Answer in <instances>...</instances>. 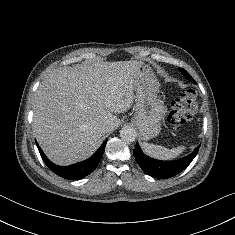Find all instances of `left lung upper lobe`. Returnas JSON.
<instances>
[{
    "instance_id": "obj_1",
    "label": "left lung upper lobe",
    "mask_w": 235,
    "mask_h": 235,
    "mask_svg": "<svg viewBox=\"0 0 235 235\" xmlns=\"http://www.w3.org/2000/svg\"><path fill=\"white\" fill-rule=\"evenodd\" d=\"M180 71L189 81L196 83L195 80L190 76V74L185 69L180 68Z\"/></svg>"
}]
</instances>
